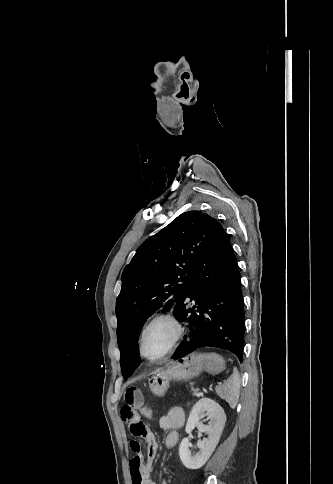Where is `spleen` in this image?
<instances>
[{"mask_svg":"<svg viewBox=\"0 0 333 484\" xmlns=\"http://www.w3.org/2000/svg\"><path fill=\"white\" fill-rule=\"evenodd\" d=\"M216 393L224 399L232 409H235L240 393V377L235 368L233 374L222 384L216 387Z\"/></svg>","mask_w":333,"mask_h":484,"instance_id":"obj_1","label":"spleen"}]
</instances>
